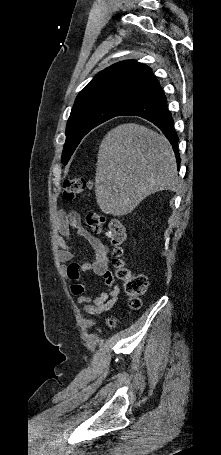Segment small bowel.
<instances>
[{"instance_id":"small-bowel-1","label":"small bowel","mask_w":221,"mask_h":455,"mask_svg":"<svg viewBox=\"0 0 221 455\" xmlns=\"http://www.w3.org/2000/svg\"><path fill=\"white\" fill-rule=\"evenodd\" d=\"M56 227V239L59 245L57 255L60 261L69 262L73 258V253L68 244L71 229L88 240L94 250L92 262H71L67 267L68 276L74 280L70 286V291L77 296V303L82 306L84 312L89 314L99 313L111 308L118 300L120 290L109 271L108 245L84 228L78 213L59 212L56 216ZM88 271L96 277L103 278L108 290L101 292L97 297L86 295L85 286L80 282L79 277L81 272Z\"/></svg>"}]
</instances>
